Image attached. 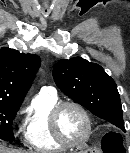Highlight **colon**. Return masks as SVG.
<instances>
[{"label":"colon","mask_w":130,"mask_h":153,"mask_svg":"<svg viewBox=\"0 0 130 153\" xmlns=\"http://www.w3.org/2000/svg\"><path fill=\"white\" fill-rule=\"evenodd\" d=\"M102 149L104 153H125L122 138L115 133L104 136Z\"/></svg>","instance_id":"obj_1"}]
</instances>
